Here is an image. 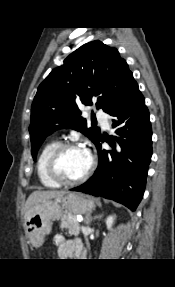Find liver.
<instances>
[{"label": "liver", "instance_id": "6515ba94", "mask_svg": "<svg viewBox=\"0 0 175 287\" xmlns=\"http://www.w3.org/2000/svg\"><path fill=\"white\" fill-rule=\"evenodd\" d=\"M65 194H67L66 191H56V190L32 192L25 203V207H24L25 216L33 207L42 203L43 201L53 199V198H58V197L64 196Z\"/></svg>", "mask_w": 175, "mask_h": 287}]
</instances>
